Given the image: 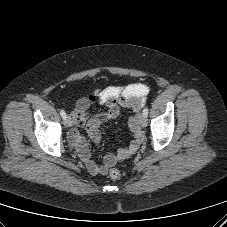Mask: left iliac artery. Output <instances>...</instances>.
Instances as JSON below:
<instances>
[{"label":"left iliac artery","mask_w":227,"mask_h":227,"mask_svg":"<svg viewBox=\"0 0 227 227\" xmlns=\"http://www.w3.org/2000/svg\"><path fill=\"white\" fill-rule=\"evenodd\" d=\"M143 115L147 117V115H148V108L147 107L144 108Z\"/></svg>","instance_id":"left-iliac-artery-1"}]
</instances>
